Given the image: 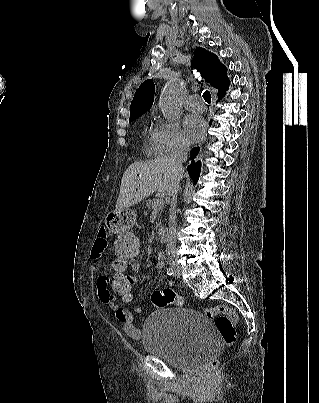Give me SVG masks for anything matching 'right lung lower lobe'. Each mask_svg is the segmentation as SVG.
Listing matches in <instances>:
<instances>
[{"mask_svg": "<svg viewBox=\"0 0 319 403\" xmlns=\"http://www.w3.org/2000/svg\"><path fill=\"white\" fill-rule=\"evenodd\" d=\"M225 95V94H224ZM223 95V96H224ZM218 97V101L223 97ZM200 149L199 147H194L191 152H190V160L191 163L187 166V171L189 173V176L192 178L193 181H197L199 178V172H200V168H201V164L200 161H198L197 163H194V161L196 160L198 153H199Z\"/></svg>", "mask_w": 319, "mask_h": 403, "instance_id": "98d812e1", "label": "right lung lower lobe"}]
</instances>
